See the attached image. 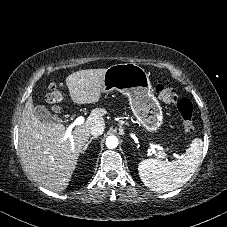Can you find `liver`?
<instances>
[{
    "label": "liver",
    "instance_id": "obj_1",
    "mask_svg": "<svg viewBox=\"0 0 227 227\" xmlns=\"http://www.w3.org/2000/svg\"><path fill=\"white\" fill-rule=\"evenodd\" d=\"M105 72L106 69H87L70 74L66 85L72 101L77 104L98 103L103 93ZM104 114V109H93L69 138L65 136L63 124L37 119L32 97H29L19 123V151L26 172L39 185L54 192L64 191L90 137L91 127L99 123L105 125Z\"/></svg>",
    "mask_w": 227,
    "mask_h": 227
}]
</instances>
